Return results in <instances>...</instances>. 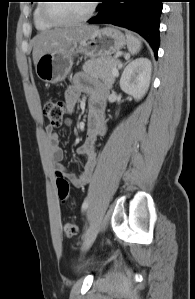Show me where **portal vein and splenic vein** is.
Wrapping results in <instances>:
<instances>
[{
    "label": "portal vein and splenic vein",
    "mask_w": 195,
    "mask_h": 299,
    "mask_svg": "<svg viewBox=\"0 0 195 299\" xmlns=\"http://www.w3.org/2000/svg\"><path fill=\"white\" fill-rule=\"evenodd\" d=\"M112 73H113L114 76H117L118 75V69L116 67H114L112 69Z\"/></svg>",
    "instance_id": "18ae733b"
}]
</instances>
